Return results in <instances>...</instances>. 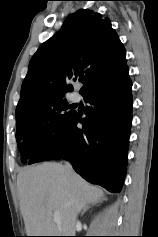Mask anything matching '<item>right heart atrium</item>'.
I'll list each match as a JSON object with an SVG mask.
<instances>
[{"label": "right heart atrium", "instance_id": "d8ad5b80", "mask_svg": "<svg viewBox=\"0 0 158 237\" xmlns=\"http://www.w3.org/2000/svg\"><path fill=\"white\" fill-rule=\"evenodd\" d=\"M54 133H55V130H54L52 127L49 128V129L47 130V133H46V135H47V139L52 138L53 135H54Z\"/></svg>", "mask_w": 158, "mask_h": 237}]
</instances>
